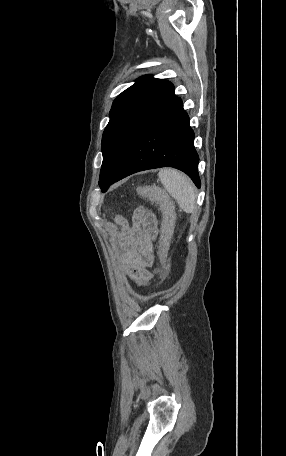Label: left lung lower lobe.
<instances>
[{
    "label": "left lung lower lobe",
    "mask_w": 286,
    "mask_h": 456,
    "mask_svg": "<svg viewBox=\"0 0 286 456\" xmlns=\"http://www.w3.org/2000/svg\"><path fill=\"white\" fill-rule=\"evenodd\" d=\"M198 162L189 116L183 109L182 100L176 97L139 133L109 184L139 171L174 167L185 172L200 188Z\"/></svg>",
    "instance_id": "1"
}]
</instances>
